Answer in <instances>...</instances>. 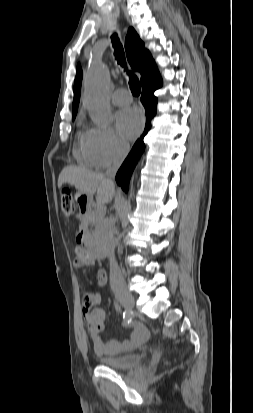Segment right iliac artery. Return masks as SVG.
Listing matches in <instances>:
<instances>
[{"instance_id":"right-iliac-artery-1","label":"right iliac artery","mask_w":253,"mask_h":413,"mask_svg":"<svg viewBox=\"0 0 253 413\" xmlns=\"http://www.w3.org/2000/svg\"><path fill=\"white\" fill-rule=\"evenodd\" d=\"M123 319H124L125 322L130 323L131 322V315L126 313V312H123Z\"/></svg>"}]
</instances>
